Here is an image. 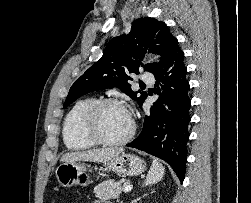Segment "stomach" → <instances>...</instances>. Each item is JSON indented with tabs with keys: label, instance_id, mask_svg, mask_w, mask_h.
<instances>
[{
	"label": "stomach",
	"instance_id": "stomach-1",
	"mask_svg": "<svg viewBox=\"0 0 251 203\" xmlns=\"http://www.w3.org/2000/svg\"><path fill=\"white\" fill-rule=\"evenodd\" d=\"M109 171L117 174L134 176L144 172L146 163L141 158L126 154L124 151L117 154L105 163ZM91 169L85 162H64L55 170V176L60 186L69 188L73 185L87 186L91 183Z\"/></svg>",
	"mask_w": 251,
	"mask_h": 203
}]
</instances>
